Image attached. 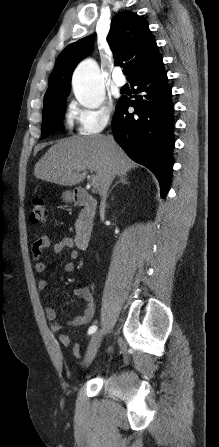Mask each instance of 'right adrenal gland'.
Masks as SVG:
<instances>
[{"label":"right adrenal gland","mask_w":219,"mask_h":447,"mask_svg":"<svg viewBox=\"0 0 219 447\" xmlns=\"http://www.w3.org/2000/svg\"><path fill=\"white\" fill-rule=\"evenodd\" d=\"M118 183L129 184L127 174L119 176V180L112 186V188L110 189L109 193H111V191L113 190V188H114Z\"/></svg>","instance_id":"right-adrenal-gland-1"}]
</instances>
